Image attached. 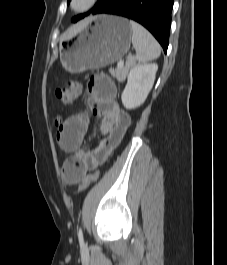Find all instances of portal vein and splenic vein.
Listing matches in <instances>:
<instances>
[{"instance_id":"obj_1","label":"portal vein and splenic vein","mask_w":227,"mask_h":265,"mask_svg":"<svg viewBox=\"0 0 227 265\" xmlns=\"http://www.w3.org/2000/svg\"><path fill=\"white\" fill-rule=\"evenodd\" d=\"M123 65H124V61H119V62L117 63V67H123Z\"/></svg>"}]
</instances>
